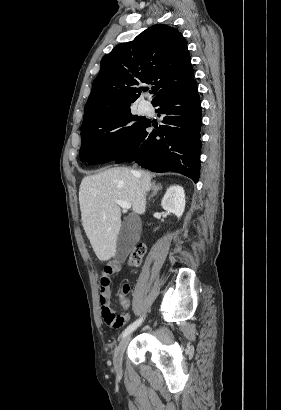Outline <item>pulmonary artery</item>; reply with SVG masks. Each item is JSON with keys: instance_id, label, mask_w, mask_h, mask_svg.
Wrapping results in <instances>:
<instances>
[{"instance_id": "1", "label": "pulmonary artery", "mask_w": 281, "mask_h": 410, "mask_svg": "<svg viewBox=\"0 0 281 410\" xmlns=\"http://www.w3.org/2000/svg\"><path fill=\"white\" fill-rule=\"evenodd\" d=\"M142 108L144 109V110H146L147 109V105L144 103V104H142Z\"/></svg>"}]
</instances>
